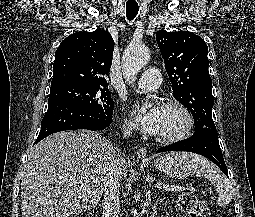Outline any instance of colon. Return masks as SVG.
Returning <instances> with one entry per match:
<instances>
[{
  "label": "colon",
  "instance_id": "colon-1",
  "mask_svg": "<svg viewBox=\"0 0 255 217\" xmlns=\"http://www.w3.org/2000/svg\"><path fill=\"white\" fill-rule=\"evenodd\" d=\"M179 208L191 217H210V211L206 203L195 195L184 192L177 198Z\"/></svg>",
  "mask_w": 255,
  "mask_h": 217
}]
</instances>
